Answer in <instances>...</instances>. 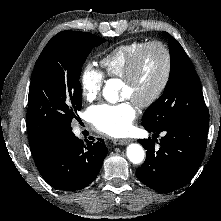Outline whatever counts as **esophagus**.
I'll list each match as a JSON object with an SVG mask.
<instances>
[{"label": "esophagus", "mask_w": 221, "mask_h": 221, "mask_svg": "<svg viewBox=\"0 0 221 221\" xmlns=\"http://www.w3.org/2000/svg\"><path fill=\"white\" fill-rule=\"evenodd\" d=\"M130 139H113L114 145H126L130 142Z\"/></svg>", "instance_id": "1"}]
</instances>
